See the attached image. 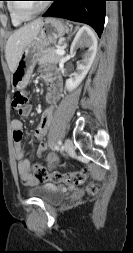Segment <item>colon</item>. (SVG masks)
I'll return each instance as SVG.
<instances>
[{
    "mask_svg": "<svg viewBox=\"0 0 133 253\" xmlns=\"http://www.w3.org/2000/svg\"><path fill=\"white\" fill-rule=\"evenodd\" d=\"M12 109L18 113H21L23 109L28 105V95L25 91H16L12 96ZM34 174L40 182L50 181L53 183H66L70 185H81L87 177L88 172L86 169L78 171L62 173L60 171H51L41 165L34 167ZM90 194H95L98 191V185L91 183L88 186Z\"/></svg>",
    "mask_w": 133,
    "mask_h": 253,
    "instance_id": "obj_1",
    "label": "colon"
}]
</instances>
